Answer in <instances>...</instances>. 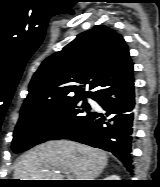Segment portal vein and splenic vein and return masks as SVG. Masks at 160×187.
<instances>
[{
    "instance_id": "1",
    "label": "portal vein and splenic vein",
    "mask_w": 160,
    "mask_h": 187,
    "mask_svg": "<svg viewBox=\"0 0 160 187\" xmlns=\"http://www.w3.org/2000/svg\"><path fill=\"white\" fill-rule=\"evenodd\" d=\"M66 174H69L68 172H64ZM68 180H74V178L72 176H68Z\"/></svg>"
}]
</instances>
